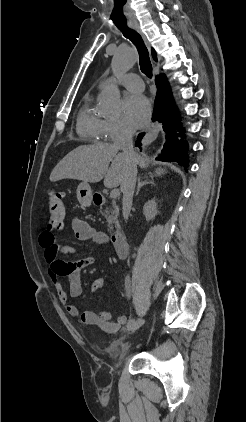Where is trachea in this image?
Instances as JSON below:
<instances>
[{
	"label": "trachea",
	"mask_w": 246,
	"mask_h": 422,
	"mask_svg": "<svg viewBox=\"0 0 246 422\" xmlns=\"http://www.w3.org/2000/svg\"><path fill=\"white\" fill-rule=\"evenodd\" d=\"M124 37L128 38L137 48L139 53V64L143 74L152 78V65L149 58V52L143 42L141 35L129 27H118Z\"/></svg>",
	"instance_id": "1"
}]
</instances>
